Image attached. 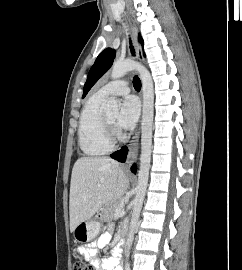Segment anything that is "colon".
Listing matches in <instances>:
<instances>
[{"instance_id":"obj_1","label":"colon","mask_w":242,"mask_h":270,"mask_svg":"<svg viewBox=\"0 0 242 270\" xmlns=\"http://www.w3.org/2000/svg\"><path fill=\"white\" fill-rule=\"evenodd\" d=\"M74 270H93V266L84 260H77L73 266Z\"/></svg>"}]
</instances>
